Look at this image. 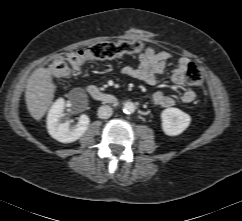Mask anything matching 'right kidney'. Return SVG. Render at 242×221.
Segmentation results:
<instances>
[{"mask_svg": "<svg viewBox=\"0 0 242 221\" xmlns=\"http://www.w3.org/2000/svg\"><path fill=\"white\" fill-rule=\"evenodd\" d=\"M72 107L77 104L70 101ZM65 109V101L63 98L57 99L51 106L47 116V129L51 137L61 143H71L78 140L88 129L90 119L87 115L80 116L78 123L71 126L69 121L61 122V117Z\"/></svg>", "mask_w": 242, "mask_h": 221, "instance_id": "right-kidney-1", "label": "right kidney"}]
</instances>
